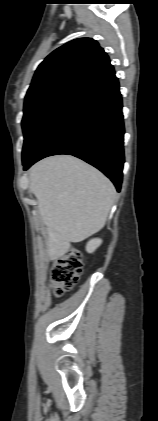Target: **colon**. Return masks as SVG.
<instances>
[{"mask_svg": "<svg viewBox=\"0 0 158 421\" xmlns=\"http://www.w3.org/2000/svg\"><path fill=\"white\" fill-rule=\"evenodd\" d=\"M83 263L76 249H69L61 255L52 267V286L58 297L73 289L82 274Z\"/></svg>", "mask_w": 158, "mask_h": 421, "instance_id": "1", "label": "colon"}]
</instances>
